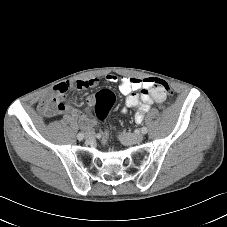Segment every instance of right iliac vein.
Segmentation results:
<instances>
[{
  "mask_svg": "<svg viewBox=\"0 0 227 227\" xmlns=\"http://www.w3.org/2000/svg\"><path fill=\"white\" fill-rule=\"evenodd\" d=\"M85 138H86L87 141H92L93 138H94V135H93L92 132L89 131V132L86 133Z\"/></svg>",
  "mask_w": 227,
  "mask_h": 227,
  "instance_id": "1",
  "label": "right iliac vein"
}]
</instances>
